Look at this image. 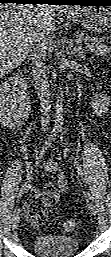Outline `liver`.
<instances>
[{"instance_id": "obj_1", "label": "liver", "mask_w": 111, "mask_h": 257, "mask_svg": "<svg viewBox=\"0 0 111 257\" xmlns=\"http://www.w3.org/2000/svg\"><path fill=\"white\" fill-rule=\"evenodd\" d=\"M54 7L48 5L0 6V73L18 67L38 36L49 38L55 27Z\"/></svg>"}]
</instances>
